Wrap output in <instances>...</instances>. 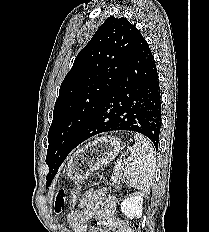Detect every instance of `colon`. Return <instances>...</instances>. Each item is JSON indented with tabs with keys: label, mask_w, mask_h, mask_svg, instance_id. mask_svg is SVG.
I'll list each match as a JSON object with an SVG mask.
<instances>
[{
	"label": "colon",
	"mask_w": 209,
	"mask_h": 232,
	"mask_svg": "<svg viewBox=\"0 0 209 232\" xmlns=\"http://www.w3.org/2000/svg\"><path fill=\"white\" fill-rule=\"evenodd\" d=\"M77 198V195L76 193H73L72 196H71V201H75ZM65 193L63 190H59L57 193H56V196H55V199H54V211L55 213H61L63 208H64V205H65ZM128 224V228H129V232H139L138 231V223L136 220H129L127 222Z\"/></svg>",
	"instance_id": "5ec220e1"
}]
</instances>
